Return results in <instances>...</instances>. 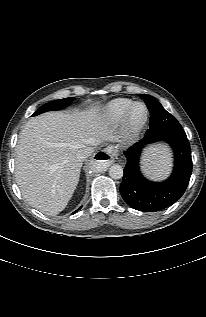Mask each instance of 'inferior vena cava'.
I'll return each instance as SVG.
<instances>
[{
    "label": "inferior vena cava",
    "mask_w": 206,
    "mask_h": 317,
    "mask_svg": "<svg viewBox=\"0 0 206 317\" xmlns=\"http://www.w3.org/2000/svg\"><path fill=\"white\" fill-rule=\"evenodd\" d=\"M93 151L94 149L92 147H84L78 151L77 158L83 161L85 158L89 157Z\"/></svg>",
    "instance_id": "1"
}]
</instances>
